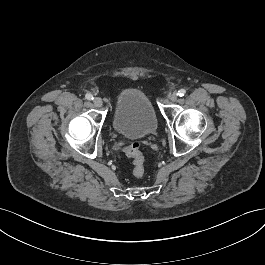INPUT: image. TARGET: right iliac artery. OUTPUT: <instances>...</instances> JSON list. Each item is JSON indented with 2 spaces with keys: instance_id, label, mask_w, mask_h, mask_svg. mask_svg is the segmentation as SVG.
Instances as JSON below:
<instances>
[{
  "instance_id": "right-iliac-artery-1",
  "label": "right iliac artery",
  "mask_w": 265,
  "mask_h": 265,
  "mask_svg": "<svg viewBox=\"0 0 265 265\" xmlns=\"http://www.w3.org/2000/svg\"><path fill=\"white\" fill-rule=\"evenodd\" d=\"M85 98L87 99V100H93L94 98H93V95L92 94H86L85 95Z\"/></svg>"
}]
</instances>
